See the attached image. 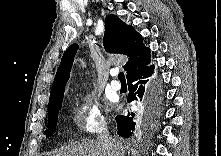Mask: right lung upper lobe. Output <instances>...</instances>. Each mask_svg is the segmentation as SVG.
Instances as JSON below:
<instances>
[{
    "label": "right lung upper lobe",
    "instance_id": "1",
    "mask_svg": "<svg viewBox=\"0 0 221 156\" xmlns=\"http://www.w3.org/2000/svg\"><path fill=\"white\" fill-rule=\"evenodd\" d=\"M104 47L110 53L126 54L129 57L124 66L127 77L134 71L150 63V49L142 41V36L130 25L125 24L117 15L106 18ZM78 44L71 45L63 54L50 93L49 105L64 96V89L70 76Z\"/></svg>",
    "mask_w": 221,
    "mask_h": 156
}]
</instances>
